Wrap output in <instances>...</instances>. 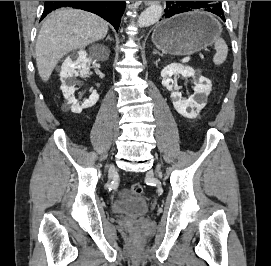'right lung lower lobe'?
I'll return each mask as SVG.
<instances>
[{
	"mask_svg": "<svg viewBox=\"0 0 271 266\" xmlns=\"http://www.w3.org/2000/svg\"><path fill=\"white\" fill-rule=\"evenodd\" d=\"M73 7L89 11L110 22L118 31L121 16L125 9L124 1H45L41 20L52 10L60 7Z\"/></svg>",
	"mask_w": 271,
	"mask_h": 266,
	"instance_id": "obj_1",
	"label": "right lung lower lobe"
}]
</instances>
